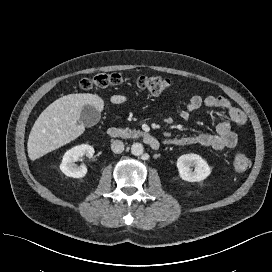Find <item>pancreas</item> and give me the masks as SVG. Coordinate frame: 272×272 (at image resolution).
I'll use <instances>...</instances> for the list:
<instances>
[{"label": "pancreas", "instance_id": "cf45deb5", "mask_svg": "<svg viewBox=\"0 0 272 272\" xmlns=\"http://www.w3.org/2000/svg\"><path fill=\"white\" fill-rule=\"evenodd\" d=\"M142 131L140 130H136V129H130V128H126V129H122L121 130V136L122 138H139L140 136H142Z\"/></svg>", "mask_w": 272, "mask_h": 272}]
</instances>
